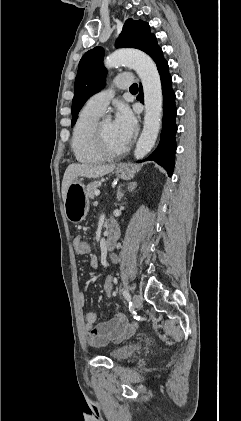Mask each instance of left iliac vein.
<instances>
[{"mask_svg":"<svg viewBox=\"0 0 241 421\" xmlns=\"http://www.w3.org/2000/svg\"><path fill=\"white\" fill-rule=\"evenodd\" d=\"M132 302H133V306H134L135 308H140V307H141V305H142V303H143L142 296H141V295H139V294H134V295H133Z\"/></svg>","mask_w":241,"mask_h":421,"instance_id":"1","label":"left iliac vein"}]
</instances>
